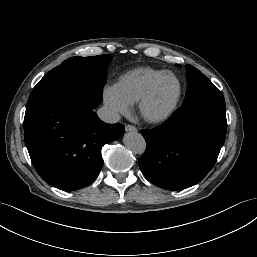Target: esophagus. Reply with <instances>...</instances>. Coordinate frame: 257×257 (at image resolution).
Masks as SVG:
<instances>
[{
  "label": "esophagus",
  "instance_id": "obj_1",
  "mask_svg": "<svg viewBox=\"0 0 257 257\" xmlns=\"http://www.w3.org/2000/svg\"><path fill=\"white\" fill-rule=\"evenodd\" d=\"M125 131H127V132H136L137 128L135 126H133V125L127 124L125 126Z\"/></svg>",
  "mask_w": 257,
  "mask_h": 257
}]
</instances>
